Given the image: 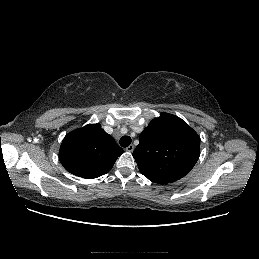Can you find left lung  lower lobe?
Listing matches in <instances>:
<instances>
[{
  "label": "left lung lower lobe",
  "instance_id": "obj_1",
  "mask_svg": "<svg viewBox=\"0 0 259 259\" xmlns=\"http://www.w3.org/2000/svg\"><path fill=\"white\" fill-rule=\"evenodd\" d=\"M150 180V179H149ZM150 181H152V180H150ZM152 182H155V181H152ZM155 183H159V182H155ZM159 184H161V183H159Z\"/></svg>",
  "mask_w": 259,
  "mask_h": 259
}]
</instances>
